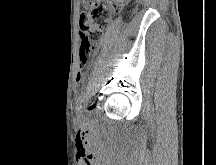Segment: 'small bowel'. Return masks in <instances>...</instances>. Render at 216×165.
Returning <instances> with one entry per match:
<instances>
[{
  "label": "small bowel",
  "instance_id": "small-bowel-1",
  "mask_svg": "<svg viewBox=\"0 0 216 165\" xmlns=\"http://www.w3.org/2000/svg\"><path fill=\"white\" fill-rule=\"evenodd\" d=\"M80 78H81L80 75H78V80H80Z\"/></svg>",
  "mask_w": 216,
  "mask_h": 165
}]
</instances>
